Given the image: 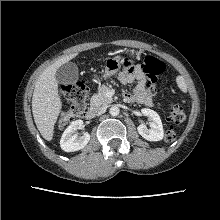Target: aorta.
Returning a JSON list of instances; mask_svg holds the SVG:
<instances>
[{"instance_id": "aorta-1", "label": "aorta", "mask_w": 220, "mask_h": 220, "mask_svg": "<svg viewBox=\"0 0 220 220\" xmlns=\"http://www.w3.org/2000/svg\"><path fill=\"white\" fill-rule=\"evenodd\" d=\"M109 113L112 115V116H117L119 115L120 113V109L118 106H112L109 110Z\"/></svg>"}]
</instances>
